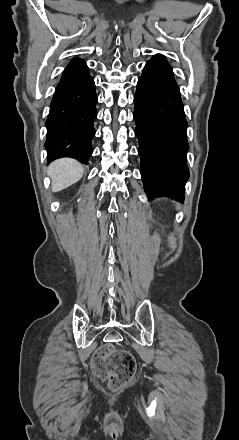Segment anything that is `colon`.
I'll list each match as a JSON object with an SVG mask.
<instances>
[{
	"instance_id": "5ec220e1",
	"label": "colon",
	"mask_w": 239,
	"mask_h": 440,
	"mask_svg": "<svg viewBox=\"0 0 239 440\" xmlns=\"http://www.w3.org/2000/svg\"><path fill=\"white\" fill-rule=\"evenodd\" d=\"M136 362L134 356L126 350L113 346L100 348L93 357L94 372L109 381L117 389L134 375Z\"/></svg>"
}]
</instances>
